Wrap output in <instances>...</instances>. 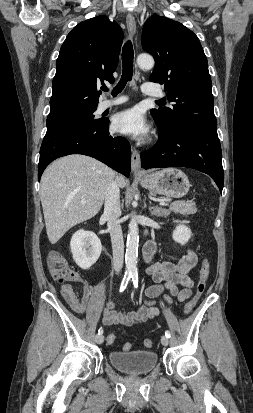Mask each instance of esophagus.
I'll use <instances>...</instances> for the list:
<instances>
[{
    "mask_svg": "<svg viewBox=\"0 0 253 413\" xmlns=\"http://www.w3.org/2000/svg\"><path fill=\"white\" fill-rule=\"evenodd\" d=\"M126 24L129 36L134 39L136 37V21L131 13H129L126 17ZM131 169L135 174H140L142 172L140 152L135 148L132 150Z\"/></svg>",
    "mask_w": 253,
    "mask_h": 413,
    "instance_id": "esophagus-1",
    "label": "esophagus"
}]
</instances>
